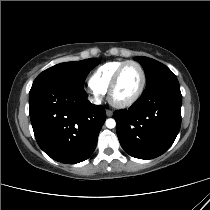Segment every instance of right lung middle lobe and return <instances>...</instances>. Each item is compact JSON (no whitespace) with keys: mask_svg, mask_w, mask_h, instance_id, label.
<instances>
[{"mask_svg":"<svg viewBox=\"0 0 210 210\" xmlns=\"http://www.w3.org/2000/svg\"><path fill=\"white\" fill-rule=\"evenodd\" d=\"M99 63L100 60L93 58L77 62L60 63L40 73L34 80L33 84L43 82H62L83 87L88 73Z\"/></svg>","mask_w":210,"mask_h":210,"instance_id":"right-lung-middle-lobe-1","label":"right lung middle lobe"}]
</instances>
